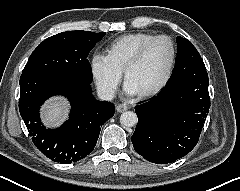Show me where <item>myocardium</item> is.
Wrapping results in <instances>:
<instances>
[{
  "label": "myocardium",
  "mask_w": 240,
  "mask_h": 191,
  "mask_svg": "<svg viewBox=\"0 0 240 191\" xmlns=\"http://www.w3.org/2000/svg\"><path fill=\"white\" fill-rule=\"evenodd\" d=\"M158 40H165L169 43L170 49H171L170 61H169V64H168V67H167V70H166V73H165L163 79L156 86H154L150 89H147L143 92H140V96H142V97H149V96L155 95L158 92H160L168 84V82L172 76V73H173V69H174V66L176 63V56H177L176 46H175V43L172 40V38L167 35H156V36L152 37L138 49V51L127 62V64L125 65V67L123 69L124 77H125V79H127V75L129 73V71L132 68H134L135 66H137L142 61V59L144 58L149 47Z\"/></svg>",
  "instance_id": "1"
}]
</instances>
